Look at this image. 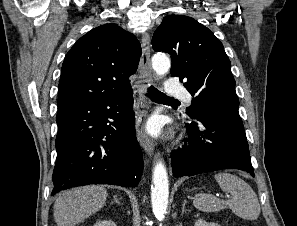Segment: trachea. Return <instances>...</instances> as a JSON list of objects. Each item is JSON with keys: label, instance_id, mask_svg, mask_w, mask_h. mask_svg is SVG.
<instances>
[{"label": "trachea", "instance_id": "1", "mask_svg": "<svg viewBox=\"0 0 297 226\" xmlns=\"http://www.w3.org/2000/svg\"><path fill=\"white\" fill-rule=\"evenodd\" d=\"M147 95L154 101L179 103L178 100H175L173 98H170V97L166 96L164 93H162L161 91L155 89L154 87H149L148 88V94Z\"/></svg>", "mask_w": 297, "mask_h": 226}]
</instances>
